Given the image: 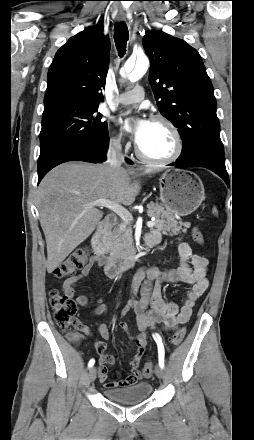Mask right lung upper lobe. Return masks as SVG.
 Returning <instances> with one entry per match:
<instances>
[{
    "mask_svg": "<svg viewBox=\"0 0 254 440\" xmlns=\"http://www.w3.org/2000/svg\"><path fill=\"white\" fill-rule=\"evenodd\" d=\"M109 48L100 23L70 38L49 67L44 106L60 100L91 105L103 101L101 88L105 86Z\"/></svg>",
    "mask_w": 254,
    "mask_h": 440,
    "instance_id": "1",
    "label": "right lung upper lobe"
}]
</instances>
